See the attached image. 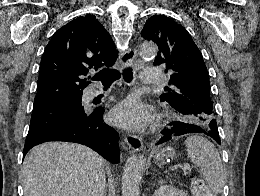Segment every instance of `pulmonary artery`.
I'll return each mask as SVG.
<instances>
[{"instance_id":"e3ab8cb5","label":"pulmonary artery","mask_w":260,"mask_h":196,"mask_svg":"<svg viewBox=\"0 0 260 196\" xmlns=\"http://www.w3.org/2000/svg\"><path fill=\"white\" fill-rule=\"evenodd\" d=\"M141 83L142 84H157L159 77V69H141ZM102 94L101 90L88 89L86 92V101L91 102L94 98Z\"/></svg>"}]
</instances>
